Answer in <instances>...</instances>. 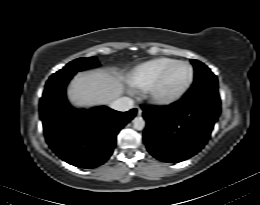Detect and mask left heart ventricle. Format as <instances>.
<instances>
[{"instance_id": "1", "label": "left heart ventricle", "mask_w": 260, "mask_h": 205, "mask_svg": "<svg viewBox=\"0 0 260 205\" xmlns=\"http://www.w3.org/2000/svg\"><path fill=\"white\" fill-rule=\"evenodd\" d=\"M189 78V67L184 64L176 65L159 86L158 93L163 96L175 94L188 83Z\"/></svg>"}]
</instances>
